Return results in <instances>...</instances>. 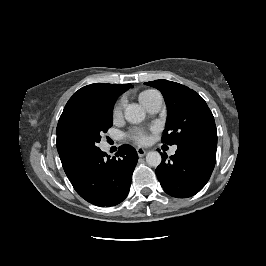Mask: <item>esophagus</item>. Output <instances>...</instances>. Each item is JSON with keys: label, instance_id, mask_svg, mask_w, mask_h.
Segmentation results:
<instances>
[{"label": "esophagus", "instance_id": "34e87169", "mask_svg": "<svg viewBox=\"0 0 266 266\" xmlns=\"http://www.w3.org/2000/svg\"><path fill=\"white\" fill-rule=\"evenodd\" d=\"M136 151H137V154H138L139 157H143V156H145L146 153H147V150H145V149H143V148H140V147H138V148L136 149Z\"/></svg>", "mask_w": 266, "mask_h": 266}]
</instances>
